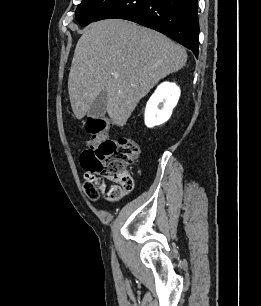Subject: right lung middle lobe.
I'll return each mask as SVG.
<instances>
[{"mask_svg": "<svg viewBox=\"0 0 261 306\" xmlns=\"http://www.w3.org/2000/svg\"><path fill=\"white\" fill-rule=\"evenodd\" d=\"M114 1L115 0H82L75 12L76 20L81 26H86L93 22Z\"/></svg>", "mask_w": 261, "mask_h": 306, "instance_id": "right-lung-middle-lobe-1", "label": "right lung middle lobe"}]
</instances>
